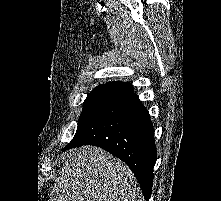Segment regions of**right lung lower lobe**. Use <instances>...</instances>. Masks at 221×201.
<instances>
[{
	"label": "right lung lower lobe",
	"instance_id": "right-lung-lower-lobe-1",
	"mask_svg": "<svg viewBox=\"0 0 221 201\" xmlns=\"http://www.w3.org/2000/svg\"><path fill=\"white\" fill-rule=\"evenodd\" d=\"M82 145L101 147L124 161L149 200L157 159L154 130L131 84L117 90L62 150Z\"/></svg>",
	"mask_w": 221,
	"mask_h": 201
}]
</instances>
